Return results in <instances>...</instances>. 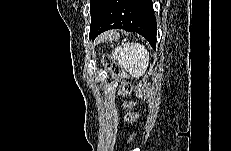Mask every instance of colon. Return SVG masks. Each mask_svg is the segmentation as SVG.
I'll return each instance as SVG.
<instances>
[{
  "instance_id": "5ec220e1",
  "label": "colon",
  "mask_w": 231,
  "mask_h": 151,
  "mask_svg": "<svg viewBox=\"0 0 231 151\" xmlns=\"http://www.w3.org/2000/svg\"><path fill=\"white\" fill-rule=\"evenodd\" d=\"M104 63L107 68L116 76L121 75V69L117 63H115L112 58L106 57L104 59ZM132 90V85L129 82H123L121 85V94L126 95L129 94ZM129 107L132 106V103L128 104ZM127 118L130 121H135L137 119V114L134 112H128ZM131 139V138H130Z\"/></svg>"
}]
</instances>
